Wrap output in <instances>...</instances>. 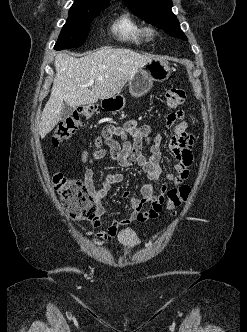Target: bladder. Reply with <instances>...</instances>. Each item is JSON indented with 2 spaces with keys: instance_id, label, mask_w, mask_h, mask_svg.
Returning a JSON list of instances; mask_svg holds the SVG:
<instances>
[{
  "instance_id": "bladder-1",
  "label": "bladder",
  "mask_w": 247,
  "mask_h": 332,
  "mask_svg": "<svg viewBox=\"0 0 247 332\" xmlns=\"http://www.w3.org/2000/svg\"><path fill=\"white\" fill-rule=\"evenodd\" d=\"M136 240H137V238L135 236L131 235V236L127 237L125 241L128 244H134L136 242Z\"/></svg>"
}]
</instances>
